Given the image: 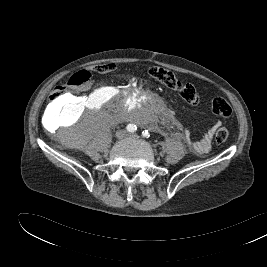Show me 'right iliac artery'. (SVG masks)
Masks as SVG:
<instances>
[{
    "label": "right iliac artery",
    "instance_id": "1",
    "mask_svg": "<svg viewBox=\"0 0 267 267\" xmlns=\"http://www.w3.org/2000/svg\"><path fill=\"white\" fill-rule=\"evenodd\" d=\"M126 129L129 131V132H135L137 130V127L136 125L134 124H128Z\"/></svg>",
    "mask_w": 267,
    "mask_h": 267
}]
</instances>
